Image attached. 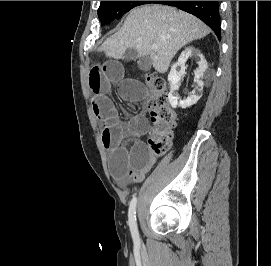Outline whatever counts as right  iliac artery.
Segmentation results:
<instances>
[{"label":"right iliac artery","instance_id":"right-iliac-artery-1","mask_svg":"<svg viewBox=\"0 0 271 266\" xmlns=\"http://www.w3.org/2000/svg\"><path fill=\"white\" fill-rule=\"evenodd\" d=\"M136 203H137V199L136 197H133V199L130 202L128 217H129V226H130L133 240L134 242H139V234H138V229H137V224H136V215H135Z\"/></svg>","mask_w":271,"mask_h":266}]
</instances>
